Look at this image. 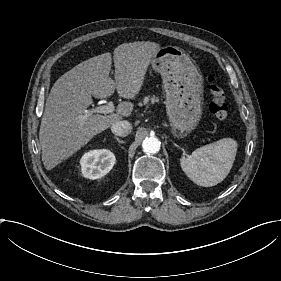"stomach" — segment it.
<instances>
[{"instance_id":"1","label":"stomach","mask_w":281,"mask_h":281,"mask_svg":"<svg viewBox=\"0 0 281 281\" xmlns=\"http://www.w3.org/2000/svg\"><path fill=\"white\" fill-rule=\"evenodd\" d=\"M151 67L162 76L172 128L184 136L196 126L201 116V72L181 48L172 45L156 50L151 58Z\"/></svg>"}]
</instances>
